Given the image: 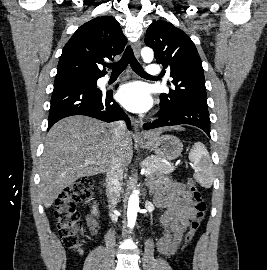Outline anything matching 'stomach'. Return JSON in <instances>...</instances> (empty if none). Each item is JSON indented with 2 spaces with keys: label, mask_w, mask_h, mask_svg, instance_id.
Returning a JSON list of instances; mask_svg holds the SVG:
<instances>
[{
  "label": "stomach",
  "mask_w": 267,
  "mask_h": 270,
  "mask_svg": "<svg viewBox=\"0 0 267 270\" xmlns=\"http://www.w3.org/2000/svg\"><path fill=\"white\" fill-rule=\"evenodd\" d=\"M142 144L146 149L153 151L157 157L166 160L176 159L183 150L180 139L170 134L145 137Z\"/></svg>",
  "instance_id": "obj_1"
}]
</instances>
